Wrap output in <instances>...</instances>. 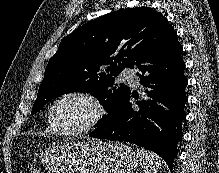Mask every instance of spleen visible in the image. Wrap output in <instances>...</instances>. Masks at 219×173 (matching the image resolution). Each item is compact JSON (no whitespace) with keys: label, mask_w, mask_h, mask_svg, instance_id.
<instances>
[{"label":"spleen","mask_w":219,"mask_h":173,"mask_svg":"<svg viewBox=\"0 0 219 173\" xmlns=\"http://www.w3.org/2000/svg\"><path fill=\"white\" fill-rule=\"evenodd\" d=\"M137 156L144 173H157L162 166V159L155 153L138 148Z\"/></svg>","instance_id":"1"}]
</instances>
